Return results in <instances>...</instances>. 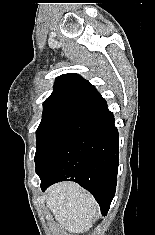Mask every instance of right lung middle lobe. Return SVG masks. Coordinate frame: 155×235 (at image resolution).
Masks as SVG:
<instances>
[{"mask_svg": "<svg viewBox=\"0 0 155 235\" xmlns=\"http://www.w3.org/2000/svg\"><path fill=\"white\" fill-rule=\"evenodd\" d=\"M90 125L70 115L44 112L36 131V172L47 168L57 154Z\"/></svg>", "mask_w": 155, "mask_h": 235, "instance_id": "right-lung-middle-lobe-1", "label": "right lung middle lobe"}]
</instances>
